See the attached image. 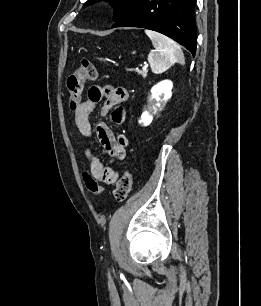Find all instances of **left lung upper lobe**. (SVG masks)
Returning <instances> with one entry per match:
<instances>
[{"instance_id":"5c2ea615","label":"left lung upper lobe","mask_w":261,"mask_h":306,"mask_svg":"<svg viewBox=\"0 0 261 306\" xmlns=\"http://www.w3.org/2000/svg\"><path fill=\"white\" fill-rule=\"evenodd\" d=\"M97 1L100 0H88L85 3V6L91 5ZM107 1H109L112 4V6L115 8L114 20L117 21L128 12V10L130 9V7L132 6L135 0H107Z\"/></svg>"}]
</instances>
